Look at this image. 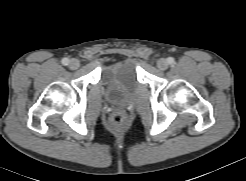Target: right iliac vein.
<instances>
[{
  "label": "right iliac vein",
  "instance_id": "1",
  "mask_svg": "<svg viewBox=\"0 0 246 181\" xmlns=\"http://www.w3.org/2000/svg\"><path fill=\"white\" fill-rule=\"evenodd\" d=\"M79 66H80L79 60L73 58V59H71V60L69 61V67H70L71 69H77V68H79Z\"/></svg>",
  "mask_w": 246,
  "mask_h": 181
}]
</instances>
